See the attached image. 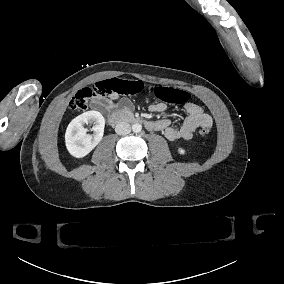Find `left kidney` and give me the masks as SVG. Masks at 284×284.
I'll use <instances>...</instances> for the list:
<instances>
[{
  "mask_svg": "<svg viewBox=\"0 0 284 284\" xmlns=\"http://www.w3.org/2000/svg\"><path fill=\"white\" fill-rule=\"evenodd\" d=\"M176 152L181 157H185L187 155V150L184 147H177Z\"/></svg>",
  "mask_w": 284,
  "mask_h": 284,
  "instance_id": "left-kidney-1",
  "label": "left kidney"
}]
</instances>
